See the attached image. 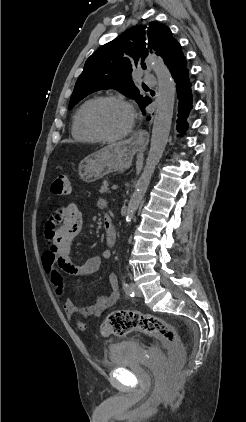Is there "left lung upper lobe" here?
<instances>
[{"instance_id": "left-lung-upper-lobe-1", "label": "left lung upper lobe", "mask_w": 246, "mask_h": 422, "mask_svg": "<svg viewBox=\"0 0 246 422\" xmlns=\"http://www.w3.org/2000/svg\"><path fill=\"white\" fill-rule=\"evenodd\" d=\"M180 44L170 29L158 22L135 26L103 45L86 61L69 103V109L87 95L103 89H116L134 99L144 109L151 100L142 96L132 80V71L141 66L149 53L161 56L166 65Z\"/></svg>"}]
</instances>
